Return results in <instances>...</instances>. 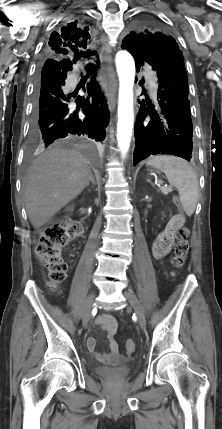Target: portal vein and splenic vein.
I'll use <instances>...</instances> for the list:
<instances>
[{"label":"portal vein and splenic vein","mask_w":222,"mask_h":429,"mask_svg":"<svg viewBox=\"0 0 222 429\" xmlns=\"http://www.w3.org/2000/svg\"><path fill=\"white\" fill-rule=\"evenodd\" d=\"M162 183V181H159V184H161Z\"/></svg>","instance_id":"portal-vein-and-splenic-vein-1"}]
</instances>
